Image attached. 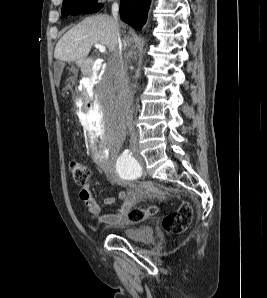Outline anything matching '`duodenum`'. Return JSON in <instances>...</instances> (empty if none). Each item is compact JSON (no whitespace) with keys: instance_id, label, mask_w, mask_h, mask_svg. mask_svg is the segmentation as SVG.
I'll return each mask as SVG.
<instances>
[{"instance_id":"1","label":"duodenum","mask_w":267,"mask_h":298,"mask_svg":"<svg viewBox=\"0 0 267 298\" xmlns=\"http://www.w3.org/2000/svg\"><path fill=\"white\" fill-rule=\"evenodd\" d=\"M81 68V76H88L89 79H98L99 75L96 74V67H100L101 63L97 60L86 58L79 61ZM95 85L92 82H87L81 90L82 99L80 105H83L82 115H92V105H94L93 98L95 94L92 93Z\"/></svg>"}]
</instances>
